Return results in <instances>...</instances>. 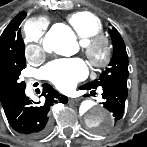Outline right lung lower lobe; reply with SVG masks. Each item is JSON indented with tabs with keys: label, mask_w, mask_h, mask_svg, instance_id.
I'll return each mask as SVG.
<instances>
[{
	"label": "right lung lower lobe",
	"mask_w": 147,
	"mask_h": 147,
	"mask_svg": "<svg viewBox=\"0 0 147 147\" xmlns=\"http://www.w3.org/2000/svg\"><path fill=\"white\" fill-rule=\"evenodd\" d=\"M42 102H34L25 96V91L12 95L3 100L7 120L11 127L28 137H39L45 134L50 126L48 112L50 106L57 101L64 104L68 102V98L59 94L51 85L44 84Z\"/></svg>",
	"instance_id": "1"
}]
</instances>
